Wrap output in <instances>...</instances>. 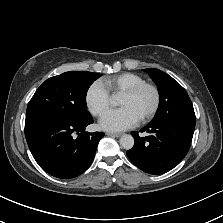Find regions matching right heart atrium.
Returning <instances> with one entry per match:
<instances>
[{
	"label": "right heart atrium",
	"instance_id": "obj_1",
	"mask_svg": "<svg viewBox=\"0 0 223 223\" xmlns=\"http://www.w3.org/2000/svg\"><path fill=\"white\" fill-rule=\"evenodd\" d=\"M110 94L102 81L89 85L85 93V104L93 116H102L110 106Z\"/></svg>",
	"mask_w": 223,
	"mask_h": 223
}]
</instances>
